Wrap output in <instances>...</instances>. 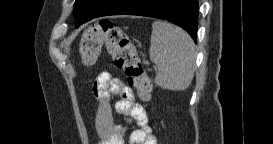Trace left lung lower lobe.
<instances>
[{
    "label": "left lung lower lobe",
    "instance_id": "0a47b994",
    "mask_svg": "<svg viewBox=\"0 0 273 144\" xmlns=\"http://www.w3.org/2000/svg\"><path fill=\"white\" fill-rule=\"evenodd\" d=\"M198 0H96L74 13L75 26L107 15H140L168 20L185 29L196 43Z\"/></svg>",
    "mask_w": 273,
    "mask_h": 144
}]
</instances>
